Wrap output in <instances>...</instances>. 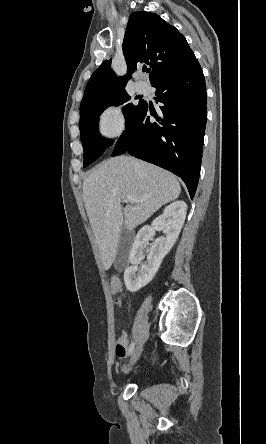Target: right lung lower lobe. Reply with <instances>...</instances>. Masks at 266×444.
I'll use <instances>...</instances> for the list:
<instances>
[{
    "label": "right lung lower lobe",
    "mask_w": 266,
    "mask_h": 444,
    "mask_svg": "<svg viewBox=\"0 0 266 444\" xmlns=\"http://www.w3.org/2000/svg\"><path fill=\"white\" fill-rule=\"evenodd\" d=\"M156 88L158 114L145 102L127 126L112 156L129 153L179 176L190 197L196 192L206 125V85L196 60L189 67L151 84ZM150 115L156 122L150 121Z\"/></svg>",
    "instance_id": "right-lung-lower-lobe-1"
}]
</instances>
